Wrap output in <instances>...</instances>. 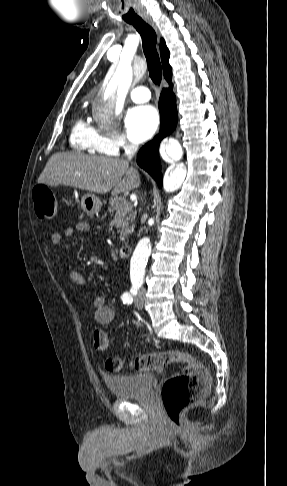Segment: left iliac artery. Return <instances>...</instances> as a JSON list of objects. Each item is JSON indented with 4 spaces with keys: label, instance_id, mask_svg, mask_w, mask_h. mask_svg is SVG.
<instances>
[{
    "label": "left iliac artery",
    "instance_id": "44dca946",
    "mask_svg": "<svg viewBox=\"0 0 287 486\" xmlns=\"http://www.w3.org/2000/svg\"><path fill=\"white\" fill-rule=\"evenodd\" d=\"M122 300H123L124 304H131L132 301H133V298L132 297H125V298H122Z\"/></svg>",
    "mask_w": 287,
    "mask_h": 486
}]
</instances>
